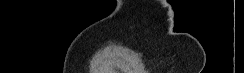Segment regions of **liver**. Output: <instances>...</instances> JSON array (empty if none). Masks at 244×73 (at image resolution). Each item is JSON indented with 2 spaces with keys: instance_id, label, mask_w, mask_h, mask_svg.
Here are the masks:
<instances>
[{
  "instance_id": "1",
  "label": "liver",
  "mask_w": 244,
  "mask_h": 73,
  "mask_svg": "<svg viewBox=\"0 0 244 73\" xmlns=\"http://www.w3.org/2000/svg\"><path fill=\"white\" fill-rule=\"evenodd\" d=\"M104 71H109L108 69H105ZM106 73H109V72H106Z\"/></svg>"
}]
</instances>
